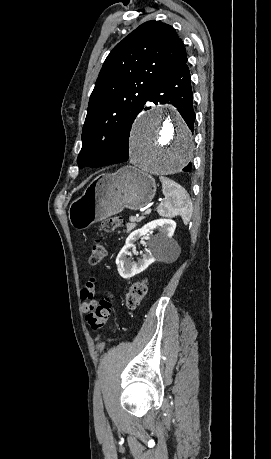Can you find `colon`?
Listing matches in <instances>:
<instances>
[{"mask_svg": "<svg viewBox=\"0 0 271 459\" xmlns=\"http://www.w3.org/2000/svg\"><path fill=\"white\" fill-rule=\"evenodd\" d=\"M123 222L120 216H112L103 220L100 224V231L103 233L113 232ZM106 255V249L100 239H95L89 256L91 265H97L103 261ZM148 291V281L141 279L134 282L125 296V303L129 309H136L144 299ZM111 313V301L109 298H103L100 301L92 300L86 314V320L89 326L94 330L104 327Z\"/></svg>", "mask_w": 271, "mask_h": 459, "instance_id": "colon-1", "label": "colon"}]
</instances>
